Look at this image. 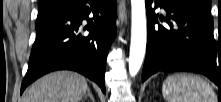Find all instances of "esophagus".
Here are the masks:
<instances>
[{
	"label": "esophagus",
	"mask_w": 221,
	"mask_h": 102,
	"mask_svg": "<svg viewBox=\"0 0 221 102\" xmlns=\"http://www.w3.org/2000/svg\"><path fill=\"white\" fill-rule=\"evenodd\" d=\"M119 15H120V17H123V10L121 7L119 8Z\"/></svg>",
	"instance_id": "1"
}]
</instances>
